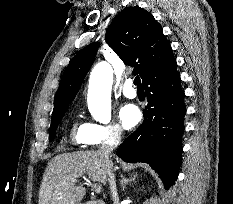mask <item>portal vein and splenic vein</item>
<instances>
[{
    "mask_svg": "<svg viewBox=\"0 0 233 204\" xmlns=\"http://www.w3.org/2000/svg\"><path fill=\"white\" fill-rule=\"evenodd\" d=\"M87 182L89 183V181H87ZM93 189H94L95 193L99 194L102 191V185H100V184H94L93 185Z\"/></svg>",
    "mask_w": 233,
    "mask_h": 204,
    "instance_id": "obj_1",
    "label": "portal vein and splenic vein"
}]
</instances>
